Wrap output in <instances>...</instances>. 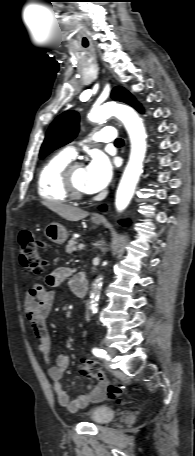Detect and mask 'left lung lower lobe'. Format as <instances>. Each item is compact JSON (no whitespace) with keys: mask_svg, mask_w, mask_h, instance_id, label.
<instances>
[{"mask_svg":"<svg viewBox=\"0 0 195 456\" xmlns=\"http://www.w3.org/2000/svg\"><path fill=\"white\" fill-rule=\"evenodd\" d=\"M136 109H137L138 111L142 112V108L140 107V105H139ZM101 209H102V210H105V207L103 206Z\"/></svg>","mask_w":195,"mask_h":456,"instance_id":"0a47b994","label":"left lung lower lobe"}]
</instances>
